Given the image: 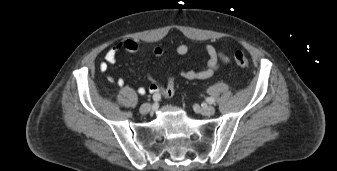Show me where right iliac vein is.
Instances as JSON below:
<instances>
[{"label": "right iliac vein", "mask_w": 337, "mask_h": 171, "mask_svg": "<svg viewBox=\"0 0 337 171\" xmlns=\"http://www.w3.org/2000/svg\"><path fill=\"white\" fill-rule=\"evenodd\" d=\"M151 109H152L151 104L145 103L140 107L139 111L142 115H145V114L149 113L151 111Z\"/></svg>", "instance_id": "right-iliac-vein-1"}]
</instances>
